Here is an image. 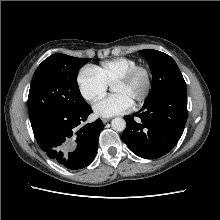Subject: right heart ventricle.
I'll return each instance as SVG.
<instances>
[{"label":"right heart ventricle","instance_id":"1","mask_svg":"<svg viewBox=\"0 0 220 220\" xmlns=\"http://www.w3.org/2000/svg\"><path fill=\"white\" fill-rule=\"evenodd\" d=\"M137 65L138 62L134 59L117 57L103 61L100 65L92 68L107 86H112L116 80Z\"/></svg>","mask_w":220,"mask_h":220}]
</instances>
